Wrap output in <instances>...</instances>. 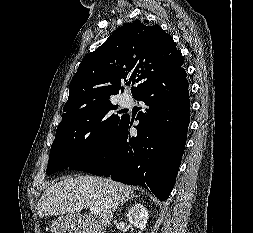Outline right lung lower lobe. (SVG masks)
<instances>
[{
    "label": "right lung lower lobe",
    "instance_id": "obj_1",
    "mask_svg": "<svg viewBox=\"0 0 253 233\" xmlns=\"http://www.w3.org/2000/svg\"><path fill=\"white\" fill-rule=\"evenodd\" d=\"M134 98L146 105L136 117L137 136L130 135L133 119L125 116L100 152L71 169L140 185L163 201L175 184L186 143L190 103L185 69L153 80Z\"/></svg>",
    "mask_w": 253,
    "mask_h": 233
}]
</instances>
